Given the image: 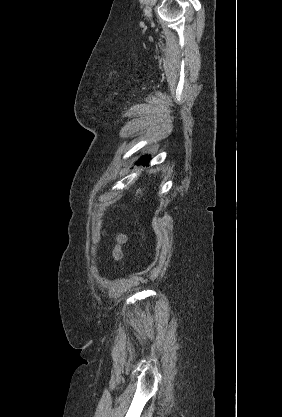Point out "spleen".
<instances>
[{
  "label": "spleen",
  "instance_id": "3e777b00",
  "mask_svg": "<svg viewBox=\"0 0 282 417\" xmlns=\"http://www.w3.org/2000/svg\"><path fill=\"white\" fill-rule=\"evenodd\" d=\"M137 192H141L140 188H138Z\"/></svg>",
  "mask_w": 282,
  "mask_h": 417
}]
</instances>
